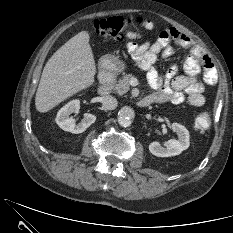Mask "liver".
<instances>
[{
    "label": "liver",
    "mask_w": 233,
    "mask_h": 233,
    "mask_svg": "<svg viewBox=\"0 0 233 233\" xmlns=\"http://www.w3.org/2000/svg\"><path fill=\"white\" fill-rule=\"evenodd\" d=\"M89 41L88 31H81L48 60L36 92L37 111L48 112L94 83L96 65Z\"/></svg>",
    "instance_id": "liver-1"
}]
</instances>
